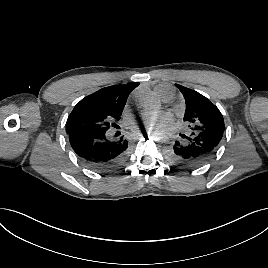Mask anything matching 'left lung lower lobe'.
<instances>
[{
	"instance_id": "obj_1",
	"label": "left lung lower lobe",
	"mask_w": 268,
	"mask_h": 268,
	"mask_svg": "<svg viewBox=\"0 0 268 268\" xmlns=\"http://www.w3.org/2000/svg\"><path fill=\"white\" fill-rule=\"evenodd\" d=\"M224 130L192 132L187 140L176 141L171 159L186 169L198 168L208 162L219 148Z\"/></svg>"
}]
</instances>
